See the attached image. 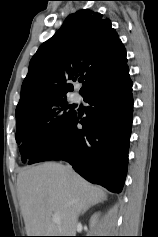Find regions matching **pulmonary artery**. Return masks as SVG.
<instances>
[{
    "instance_id": "1",
    "label": "pulmonary artery",
    "mask_w": 158,
    "mask_h": 237,
    "mask_svg": "<svg viewBox=\"0 0 158 237\" xmlns=\"http://www.w3.org/2000/svg\"><path fill=\"white\" fill-rule=\"evenodd\" d=\"M71 100L73 102H78L79 101V96L77 94H73L72 97H71Z\"/></svg>"
}]
</instances>
